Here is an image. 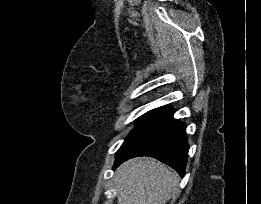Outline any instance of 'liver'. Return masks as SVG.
<instances>
[{"instance_id":"1","label":"liver","mask_w":261,"mask_h":204,"mask_svg":"<svg viewBox=\"0 0 261 204\" xmlns=\"http://www.w3.org/2000/svg\"><path fill=\"white\" fill-rule=\"evenodd\" d=\"M118 204H166L178 192L179 177L151 158H135L116 171Z\"/></svg>"}]
</instances>
